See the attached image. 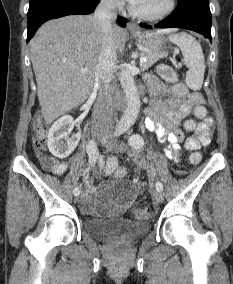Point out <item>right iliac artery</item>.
I'll return each instance as SVG.
<instances>
[{"mask_svg":"<svg viewBox=\"0 0 233 284\" xmlns=\"http://www.w3.org/2000/svg\"><path fill=\"white\" fill-rule=\"evenodd\" d=\"M87 153L89 156V163L90 165H94L96 163L97 158L99 157V152L97 149V146L93 140L89 141L86 145ZM80 190L79 188H74L73 194L74 195H79Z\"/></svg>","mask_w":233,"mask_h":284,"instance_id":"obj_1","label":"right iliac artery"}]
</instances>
